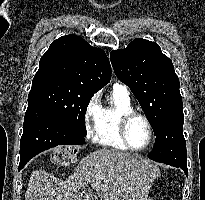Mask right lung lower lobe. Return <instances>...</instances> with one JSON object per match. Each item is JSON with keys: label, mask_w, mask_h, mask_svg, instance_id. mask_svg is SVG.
Returning <instances> with one entry per match:
<instances>
[{"label": "right lung lower lobe", "mask_w": 205, "mask_h": 200, "mask_svg": "<svg viewBox=\"0 0 205 200\" xmlns=\"http://www.w3.org/2000/svg\"><path fill=\"white\" fill-rule=\"evenodd\" d=\"M85 138L52 112L30 105L24 117L19 170L35 155L57 145L84 144Z\"/></svg>", "instance_id": "right-lung-lower-lobe-1"}]
</instances>
